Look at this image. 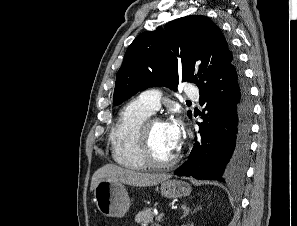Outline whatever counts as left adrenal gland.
<instances>
[{"instance_id": "left-adrenal-gland-1", "label": "left adrenal gland", "mask_w": 297, "mask_h": 226, "mask_svg": "<svg viewBox=\"0 0 297 226\" xmlns=\"http://www.w3.org/2000/svg\"><path fill=\"white\" fill-rule=\"evenodd\" d=\"M198 209H201V207H198L197 209H194V211L192 212L191 209L189 207H187L186 204L182 205V210H183V215L181 216L180 219H183L184 217L188 216L189 213H194L196 212Z\"/></svg>"}]
</instances>
